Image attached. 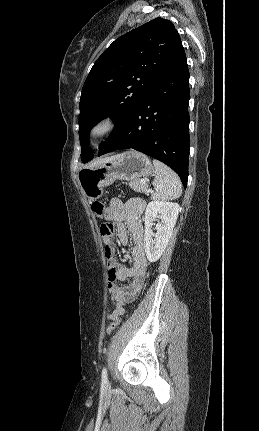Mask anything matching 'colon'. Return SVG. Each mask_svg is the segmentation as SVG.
Wrapping results in <instances>:
<instances>
[{
  "mask_svg": "<svg viewBox=\"0 0 259 431\" xmlns=\"http://www.w3.org/2000/svg\"><path fill=\"white\" fill-rule=\"evenodd\" d=\"M91 209H92L93 213L97 217H99L101 219L104 218V216H105L104 215L105 207H104V204L102 202H100V201L93 202L92 205H91ZM114 231H115V228H114V225L112 223H110V222H104V223L101 224V226H100V235H101L103 241L105 242V244L109 240H111V238L114 235ZM105 249H106V247H105ZM119 324H120V318L118 317V318L114 319L108 325V327L106 329L107 333L108 334H112L118 328Z\"/></svg>",
  "mask_w": 259,
  "mask_h": 431,
  "instance_id": "1",
  "label": "colon"
}]
</instances>
